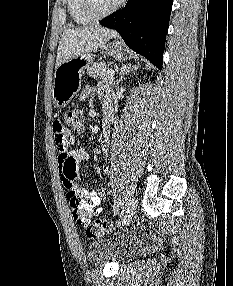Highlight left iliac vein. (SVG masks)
Here are the masks:
<instances>
[{
  "label": "left iliac vein",
  "instance_id": "4c4485c4",
  "mask_svg": "<svg viewBox=\"0 0 233 286\" xmlns=\"http://www.w3.org/2000/svg\"><path fill=\"white\" fill-rule=\"evenodd\" d=\"M137 201L134 197L130 198L123 207L122 224L126 225L130 222L132 216L136 212Z\"/></svg>",
  "mask_w": 233,
  "mask_h": 286
}]
</instances>
